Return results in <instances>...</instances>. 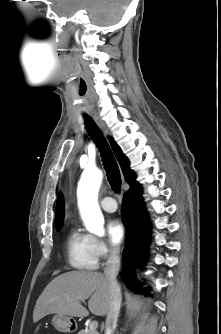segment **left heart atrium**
Segmentation results:
<instances>
[{
    "label": "left heart atrium",
    "instance_id": "39dd6f15",
    "mask_svg": "<svg viewBox=\"0 0 221 334\" xmlns=\"http://www.w3.org/2000/svg\"><path fill=\"white\" fill-rule=\"evenodd\" d=\"M107 232L110 242L119 245L125 236V228L119 219H112L107 223Z\"/></svg>",
    "mask_w": 221,
    "mask_h": 334
}]
</instances>
